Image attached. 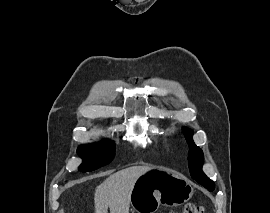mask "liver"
I'll return each mask as SVG.
<instances>
[{"instance_id":"1","label":"liver","mask_w":270,"mask_h":213,"mask_svg":"<svg viewBox=\"0 0 270 213\" xmlns=\"http://www.w3.org/2000/svg\"><path fill=\"white\" fill-rule=\"evenodd\" d=\"M152 166H133L110 175L95 189V213H129L131 191L136 180Z\"/></svg>"}]
</instances>
